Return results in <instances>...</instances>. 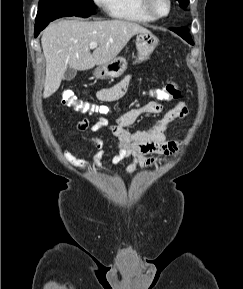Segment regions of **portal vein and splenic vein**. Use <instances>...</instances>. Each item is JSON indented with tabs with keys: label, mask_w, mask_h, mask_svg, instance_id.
Segmentation results:
<instances>
[{
	"label": "portal vein and splenic vein",
	"mask_w": 243,
	"mask_h": 289,
	"mask_svg": "<svg viewBox=\"0 0 243 289\" xmlns=\"http://www.w3.org/2000/svg\"><path fill=\"white\" fill-rule=\"evenodd\" d=\"M97 46H98V43H97V42H91V43L89 44L90 49L96 48Z\"/></svg>",
	"instance_id": "obj_1"
}]
</instances>
